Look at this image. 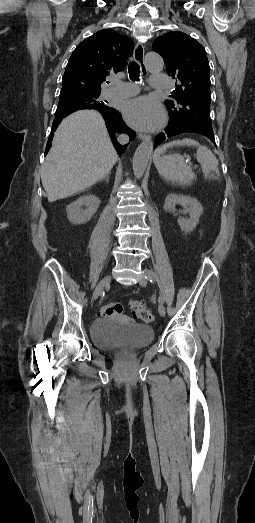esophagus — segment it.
Returning a JSON list of instances; mask_svg holds the SVG:
<instances>
[{"instance_id": "obj_1", "label": "esophagus", "mask_w": 255, "mask_h": 523, "mask_svg": "<svg viewBox=\"0 0 255 523\" xmlns=\"http://www.w3.org/2000/svg\"><path fill=\"white\" fill-rule=\"evenodd\" d=\"M134 60L139 65V67L141 68V71H146V66H145V63H144V46H143V44L141 42H138L135 45V48H134ZM138 138L140 140H149L150 139V135H147L146 133H139L138 134Z\"/></svg>"}]
</instances>
